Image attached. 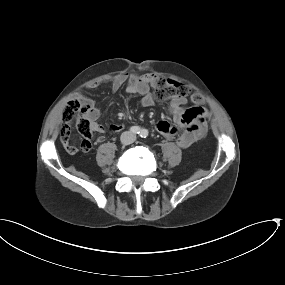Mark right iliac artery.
<instances>
[{"label": "right iliac artery", "mask_w": 285, "mask_h": 285, "mask_svg": "<svg viewBox=\"0 0 285 285\" xmlns=\"http://www.w3.org/2000/svg\"><path fill=\"white\" fill-rule=\"evenodd\" d=\"M141 129L138 126H132L130 128V132H132L133 134H140Z\"/></svg>", "instance_id": "82829eb1"}]
</instances>
